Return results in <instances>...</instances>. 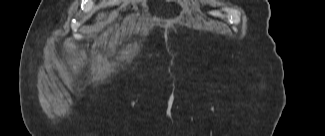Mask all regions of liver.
Here are the masks:
<instances>
[{"instance_id":"1","label":"liver","mask_w":325,"mask_h":136,"mask_svg":"<svg viewBox=\"0 0 325 136\" xmlns=\"http://www.w3.org/2000/svg\"><path fill=\"white\" fill-rule=\"evenodd\" d=\"M103 16H104L103 13L99 14L98 17H97V20H100Z\"/></svg>"}]
</instances>
